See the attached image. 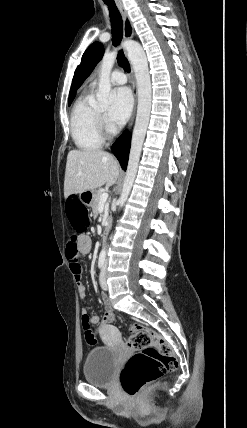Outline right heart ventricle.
I'll list each match as a JSON object with an SVG mask.
<instances>
[{
	"instance_id": "e07e8e85",
	"label": "right heart ventricle",
	"mask_w": 247,
	"mask_h": 428,
	"mask_svg": "<svg viewBox=\"0 0 247 428\" xmlns=\"http://www.w3.org/2000/svg\"><path fill=\"white\" fill-rule=\"evenodd\" d=\"M71 134L75 145L84 151L97 150L104 142L98 110L92 103L90 92L83 93L73 107Z\"/></svg>"
}]
</instances>
